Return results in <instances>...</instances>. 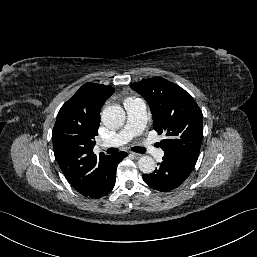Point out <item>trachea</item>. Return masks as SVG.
<instances>
[{
	"instance_id": "obj_1",
	"label": "trachea",
	"mask_w": 257,
	"mask_h": 257,
	"mask_svg": "<svg viewBox=\"0 0 257 257\" xmlns=\"http://www.w3.org/2000/svg\"><path fill=\"white\" fill-rule=\"evenodd\" d=\"M132 151L136 152V153H145V148L144 147H132L131 148ZM119 150L117 148H109L106 152L108 154H114V153H117Z\"/></svg>"
}]
</instances>
